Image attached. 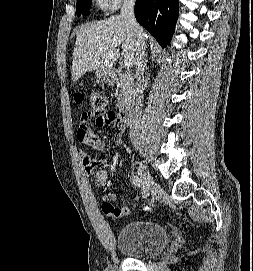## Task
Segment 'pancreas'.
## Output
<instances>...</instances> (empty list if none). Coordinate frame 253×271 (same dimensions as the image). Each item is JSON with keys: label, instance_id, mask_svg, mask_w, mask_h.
<instances>
[{"label": "pancreas", "instance_id": "cf45deb5", "mask_svg": "<svg viewBox=\"0 0 253 271\" xmlns=\"http://www.w3.org/2000/svg\"><path fill=\"white\" fill-rule=\"evenodd\" d=\"M120 88V94L118 97L117 107L123 110L131 101L134 91V80L130 74H125L120 78L118 82Z\"/></svg>", "mask_w": 253, "mask_h": 271}]
</instances>
